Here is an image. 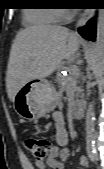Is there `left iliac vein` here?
I'll list each match as a JSON object with an SVG mask.
<instances>
[{"instance_id": "1", "label": "left iliac vein", "mask_w": 104, "mask_h": 169, "mask_svg": "<svg viewBox=\"0 0 104 169\" xmlns=\"http://www.w3.org/2000/svg\"><path fill=\"white\" fill-rule=\"evenodd\" d=\"M99 159V155L98 154H96V156H95V160H98Z\"/></svg>"}]
</instances>
